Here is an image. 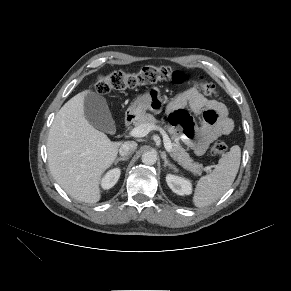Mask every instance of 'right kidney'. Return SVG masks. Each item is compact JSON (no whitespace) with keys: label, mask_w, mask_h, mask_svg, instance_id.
<instances>
[{"label":"right kidney","mask_w":291,"mask_h":291,"mask_svg":"<svg viewBox=\"0 0 291 291\" xmlns=\"http://www.w3.org/2000/svg\"><path fill=\"white\" fill-rule=\"evenodd\" d=\"M120 177V169L115 168L110 170L106 173V175L103 177L101 185L103 189H110L112 188L118 181Z\"/></svg>","instance_id":"right-kidney-1"}]
</instances>
